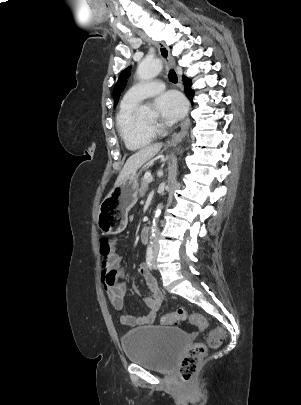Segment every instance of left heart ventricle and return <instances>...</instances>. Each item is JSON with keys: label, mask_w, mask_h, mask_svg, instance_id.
Returning a JSON list of instances; mask_svg holds the SVG:
<instances>
[{"label": "left heart ventricle", "mask_w": 301, "mask_h": 405, "mask_svg": "<svg viewBox=\"0 0 301 405\" xmlns=\"http://www.w3.org/2000/svg\"><path fill=\"white\" fill-rule=\"evenodd\" d=\"M155 120H156L155 117H150V118L144 119L143 122L147 123V124H153V123H155Z\"/></svg>", "instance_id": "1"}]
</instances>
